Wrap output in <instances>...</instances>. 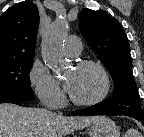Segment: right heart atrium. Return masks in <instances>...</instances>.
I'll return each instance as SVG.
<instances>
[{"label": "right heart atrium", "instance_id": "d8ad5b80", "mask_svg": "<svg viewBox=\"0 0 144 137\" xmlns=\"http://www.w3.org/2000/svg\"><path fill=\"white\" fill-rule=\"evenodd\" d=\"M29 83L41 101L47 107H57L62 105L64 95L58 79L40 61L36 60L32 64L29 74Z\"/></svg>", "mask_w": 144, "mask_h": 137}]
</instances>
